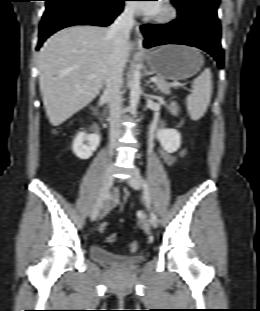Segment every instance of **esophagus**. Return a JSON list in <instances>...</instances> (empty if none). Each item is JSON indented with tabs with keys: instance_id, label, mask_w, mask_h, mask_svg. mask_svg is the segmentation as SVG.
Returning <instances> with one entry per match:
<instances>
[{
	"instance_id": "obj_1",
	"label": "esophagus",
	"mask_w": 260,
	"mask_h": 311,
	"mask_svg": "<svg viewBox=\"0 0 260 311\" xmlns=\"http://www.w3.org/2000/svg\"><path fill=\"white\" fill-rule=\"evenodd\" d=\"M134 43L138 47H141L143 45V35L140 30V23H137V26H136V36H135Z\"/></svg>"
}]
</instances>
